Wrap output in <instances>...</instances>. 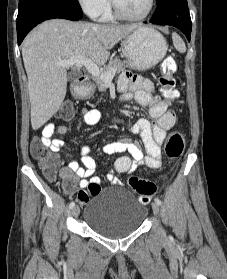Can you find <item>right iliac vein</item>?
I'll return each mask as SVG.
<instances>
[{
    "mask_svg": "<svg viewBox=\"0 0 227 279\" xmlns=\"http://www.w3.org/2000/svg\"><path fill=\"white\" fill-rule=\"evenodd\" d=\"M79 213H80L79 207H78V206H75V207L72 209V215H73L74 217H78Z\"/></svg>",
    "mask_w": 227,
    "mask_h": 279,
    "instance_id": "obj_1",
    "label": "right iliac vein"
}]
</instances>
